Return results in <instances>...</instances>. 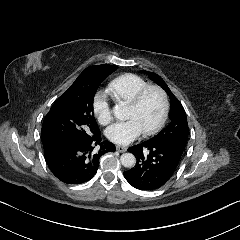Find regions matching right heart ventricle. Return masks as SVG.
<instances>
[{
	"instance_id": "right-heart-ventricle-1",
	"label": "right heart ventricle",
	"mask_w": 240,
	"mask_h": 240,
	"mask_svg": "<svg viewBox=\"0 0 240 240\" xmlns=\"http://www.w3.org/2000/svg\"><path fill=\"white\" fill-rule=\"evenodd\" d=\"M146 86L148 83L145 79L136 74L127 73L113 79L107 85L106 92L117 105L126 106L133 100L136 93Z\"/></svg>"
}]
</instances>
